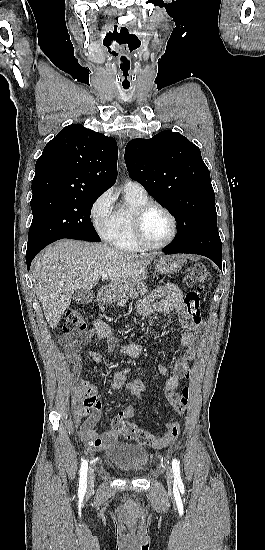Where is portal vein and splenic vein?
<instances>
[{
  "label": "portal vein and splenic vein",
  "instance_id": "obj_1",
  "mask_svg": "<svg viewBox=\"0 0 265 550\" xmlns=\"http://www.w3.org/2000/svg\"><path fill=\"white\" fill-rule=\"evenodd\" d=\"M102 279H103V280L107 279V274H103V275H102Z\"/></svg>",
  "mask_w": 265,
  "mask_h": 550
}]
</instances>
